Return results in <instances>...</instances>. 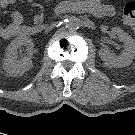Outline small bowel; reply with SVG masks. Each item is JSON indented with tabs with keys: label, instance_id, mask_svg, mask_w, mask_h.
<instances>
[{
	"label": "small bowel",
	"instance_id": "obj_1",
	"mask_svg": "<svg viewBox=\"0 0 135 135\" xmlns=\"http://www.w3.org/2000/svg\"><path fill=\"white\" fill-rule=\"evenodd\" d=\"M15 2L16 0H0V7H8ZM85 4L94 16L109 17L114 14L113 6L106 0H85ZM23 34H25L23 17L20 12L15 11L11 15V22L6 26H0V36L8 39Z\"/></svg>",
	"mask_w": 135,
	"mask_h": 135
}]
</instances>
